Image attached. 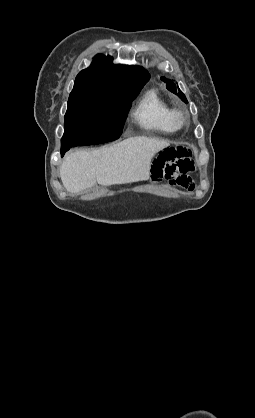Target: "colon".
Returning <instances> with one entry per match:
<instances>
[{
    "label": "colon",
    "mask_w": 255,
    "mask_h": 418,
    "mask_svg": "<svg viewBox=\"0 0 255 418\" xmlns=\"http://www.w3.org/2000/svg\"><path fill=\"white\" fill-rule=\"evenodd\" d=\"M194 170L191 151L183 146L165 149L153 162L151 177L154 182L169 181L172 185L191 189L189 174Z\"/></svg>",
    "instance_id": "1"
}]
</instances>
